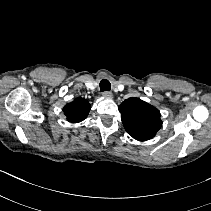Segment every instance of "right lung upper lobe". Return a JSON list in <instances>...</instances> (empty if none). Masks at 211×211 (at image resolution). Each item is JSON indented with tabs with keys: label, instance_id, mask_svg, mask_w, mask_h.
<instances>
[{
	"label": "right lung upper lobe",
	"instance_id": "cb5924a9",
	"mask_svg": "<svg viewBox=\"0 0 211 211\" xmlns=\"http://www.w3.org/2000/svg\"><path fill=\"white\" fill-rule=\"evenodd\" d=\"M90 108L91 106L86 99L76 98L73 102L65 105L63 112L69 122L77 123L87 117Z\"/></svg>",
	"mask_w": 211,
	"mask_h": 211
}]
</instances>
